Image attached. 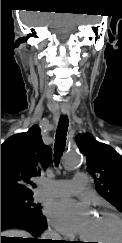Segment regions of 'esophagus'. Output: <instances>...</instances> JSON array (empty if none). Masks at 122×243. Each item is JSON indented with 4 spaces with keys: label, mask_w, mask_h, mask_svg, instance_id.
<instances>
[{
    "label": "esophagus",
    "mask_w": 122,
    "mask_h": 243,
    "mask_svg": "<svg viewBox=\"0 0 122 243\" xmlns=\"http://www.w3.org/2000/svg\"><path fill=\"white\" fill-rule=\"evenodd\" d=\"M62 113L66 115V114L69 113V110H67V109H62Z\"/></svg>",
    "instance_id": "obj_1"
}]
</instances>
